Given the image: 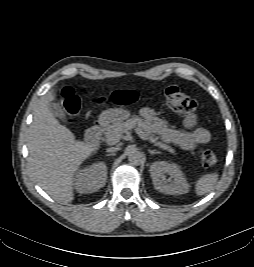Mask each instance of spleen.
Here are the masks:
<instances>
[{"instance_id":"obj_1","label":"spleen","mask_w":254,"mask_h":267,"mask_svg":"<svg viewBox=\"0 0 254 267\" xmlns=\"http://www.w3.org/2000/svg\"><path fill=\"white\" fill-rule=\"evenodd\" d=\"M218 180L217 173H211L203 175L199 180L196 182V193L197 195H204L211 192Z\"/></svg>"}]
</instances>
